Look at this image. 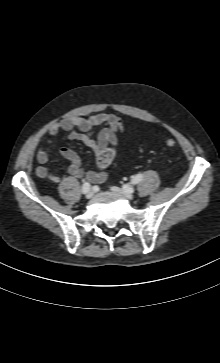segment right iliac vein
Here are the masks:
<instances>
[{"instance_id":"63e3f726","label":"right iliac vein","mask_w":220,"mask_h":363,"mask_svg":"<svg viewBox=\"0 0 220 363\" xmlns=\"http://www.w3.org/2000/svg\"><path fill=\"white\" fill-rule=\"evenodd\" d=\"M92 196H93V192H92V191H88V192H87V194L85 195V197H86L87 199L92 198Z\"/></svg>"}]
</instances>
